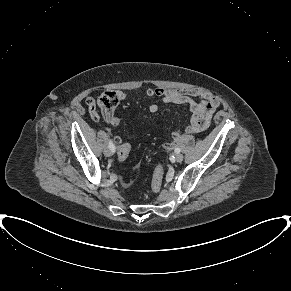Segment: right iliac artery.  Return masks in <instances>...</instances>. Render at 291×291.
Instances as JSON below:
<instances>
[{
  "label": "right iliac artery",
  "instance_id": "right-iliac-artery-1",
  "mask_svg": "<svg viewBox=\"0 0 291 291\" xmlns=\"http://www.w3.org/2000/svg\"><path fill=\"white\" fill-rule=\"evenodd\" d=\"M109 148L113 151V152H115V145H114V143L110 140L109 141Z\"/></svg>",
  "mask_w": 291,
  "mask_h": 291
}]
</instances>
